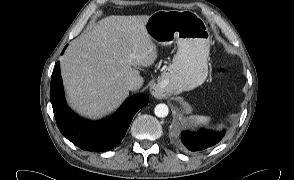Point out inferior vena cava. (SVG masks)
<instances>
[{
  "instance_id": "obj_1",
  "label": "inferior vena cava",
  "mask_w": 294,
  "mask_h": 180,
  "mask_svg": "<svg viewBox=\"0 0 294 180\" xmlns=\"http://www.w3.org/2000/svg\"><path fill=\"white\" fill-rule=\"evenodd\" d=\"M144 79L142 76L137 75L131 77L127 82V88L131 91L139 89L143 85Z\"/></svg>"
}]
</instances>
